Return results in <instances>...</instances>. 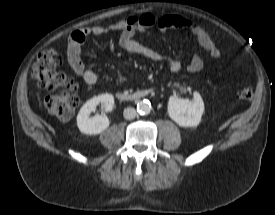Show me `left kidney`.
Here are the masks:
<instances>
[{
	"label": "left kidney",
	"instance_id": "5707ae66",
	"mask_svg": "<svg viewBox=\"0 0 275 215\" xmlns=\"http://www.w3.org/2000/svg\"><path fill=\"white\" fill-rule=\"evenodd\" d=\"M204 112V102L198 92L193 93V101L171 96L168 102V114L179 126L195 127Z\"/></svg>",
	"mask_w": 275,
	"mask_h": 215
}]
</instances>
